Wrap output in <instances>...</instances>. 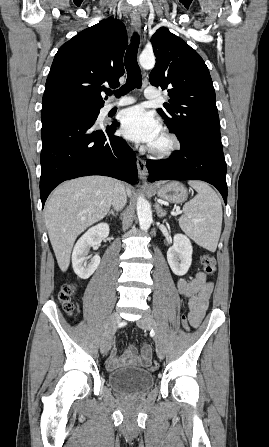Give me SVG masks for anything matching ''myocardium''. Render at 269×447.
<instances>
[{
  "mask_svg": "<svg viewBox=\"0 0 269 447\" xmlns=\"http://www.w3.org/2000/svg\"><path fill=\"white\" fill-rule=\"evenodd\" d=\"M163 132L169 139L168 147L161 151H155V150L151 149L150 147H148V149H147L150 156H152L153 158H155L157 160H166V159L171 158L172 156H174L176 154V152L181 147V141H180L179 137L173 131H171L168 128H165V129H163Z\"/></svg>",
  "mask_w": 269,
  "mask_h": 447,
  "instance_id": "myocardium-1",
  "label": "myocardium"
}]
</instances>
